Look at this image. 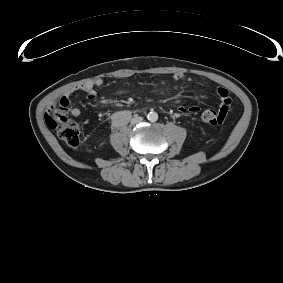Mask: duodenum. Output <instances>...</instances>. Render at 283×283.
I'll return each instance as SVG.
<instances>
[{
  "instance_id": "duodenum-1",
  "label": "duodenum",
  "mask_w": 283,
  "mask_h": 283,
  "mask_svg": "<svg viewBox=\"0 0 283 283\" xmlns=\"http://www.w3.org/2000/svg\"><path fill=\"white\" fill-rule=\"evenodd\" d=\"M121 116L123 117V119L119 122V125H122L125 121L130 119L132 116V113L124 111L121 113Z\"/></svg>"
}]
</instances>
